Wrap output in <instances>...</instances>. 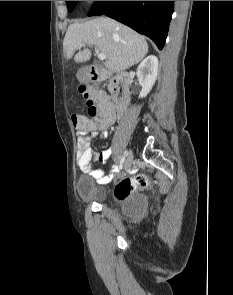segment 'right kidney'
Masks as SVG:
<instances>
[{
	"instance_id": "obj_1",
	"label": "right kidney",
	"mask_w": 233,
	"mask_h": 295,
	"mask_svg": "<svg viewBox=\"0 0 233 295\" xmlns=\"http://www.w3.org/2000/svg\"><path fill=\"white\" fill-rule=\"evenodd\" d=\"M158 58L154 55L146 57L137 68V78L142 90L139 98L146 97L151 91L158 74Z\"/></svg>"
}]
</instances>
